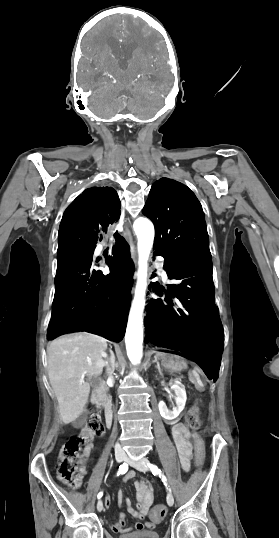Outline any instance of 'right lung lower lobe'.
Segmentation results:
<instances>
[{
  "label": "right lung lower lobe",
  "instance_id": "obj_1",
  "mask_svg": "<svg viewBox=\"0 0 279 538\" xmlns=\"http://www.w3.org/2000/svg\"><path fill=\"white\" fill-rule=\"evenodd\" d=\"M120 208L113 188L92 187L64 212L58 231V263L48 339L90 330L105 333L113 340L124 337L134 264L122 237L111 229L119 219ZM105 236L115 240L108 275L95 270L92 264L96 243Z\"/></svg>",
  "mask_w": 279,
  "mask_h": 538
}]
</instances>
